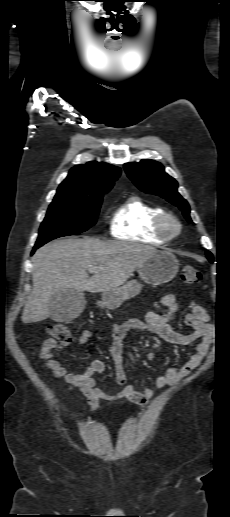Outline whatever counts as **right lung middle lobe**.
Instances as JSON below:
<instances>
[{
    "mask_svg": "<svg viewBox=\"0 0 230 517\" xmlns=\"http://www.w3.org/2000/svg\"><path fill=\"white\" fill-rule=\"evenodd\" d=\"M105 193L90 198H54L35 245L40 247L55 238L88 230L96 223Z\"/></svg>",
    "mask_w": 230,
    "mask_h": 517,
    "instance_id": "right-lung-middle-lobe-1",
    "label": "right lung middle lobe"
}]
</instances>
